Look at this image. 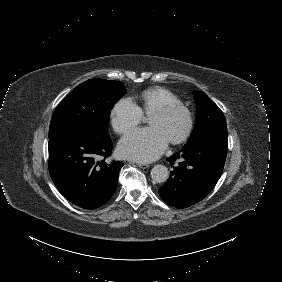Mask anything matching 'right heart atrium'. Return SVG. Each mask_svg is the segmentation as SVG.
<instances>
[{"mask_svg":"<svg viewBox=\"0 0 282 282\" xmlns=\"http://www.w3.org/2000/svg\"><path fill=\"white\" fill-rule=\"evenodd\" d=\"M142 119L143 113L138 106L129 99L120 101L111 111L113 129L119 134L125 133L136 126Z\"/></svg>","mask_w":282,"mask_h":282,"instance_id":"right-heart-atrium-1","label":"right heart atrium"}]
</instances>
